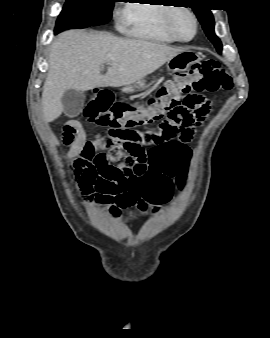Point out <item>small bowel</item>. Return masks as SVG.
Here are the masks:
<instances>
[{"label":"small bowel","mask_w":270,"mask_h":338,"mask_svg":"<svg viewBox=\"0 0 270 338\" xmlns=\"http://www.w3.org/2000/svg\"><path fill=\"white\" fill-rule=\"evenodd\" d=\"M167 122L171 120L166 118L163 123ZM194 131L195 126L192 127L190 138ZM175 140L169 139L158 148ZM62 141L67 148L65 158L80 169L77 176L79 193L88 204L103 210L108 209L113 216H117L120 209L101 189V185L105 181L106 174L116 167V163L123 161L132 152H135L137 157L144 155L146 166L150 167L156 176V179L148 185L151 202L157 207H163L171 201L175 181L185 175L192 155L187 144H183L177 153L161 158L155 153L154 148L143 153L138 145L127 139L108 136L99 131L95 132L93 139H88L85 128L78 120H70L63 126Z\"/></svg>","instance_id":"obj_1"}]
</instances>
